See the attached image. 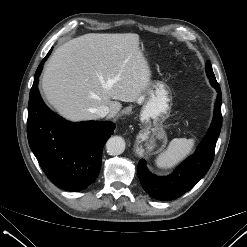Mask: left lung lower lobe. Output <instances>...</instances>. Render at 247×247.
<instances>
[{"label":"left lung lower lobe","mask_w":247,"mask_h":247,"mask_svg":"<svg viewBox=\"0 0 247 247\" xmlns=\"http://www.w3.org/2000/svg\"><path fill=\"white\" fill-rule=\"evenodd\" d=\"M217 90L214 117L204 140L197 147L195 153L179 165L172 174L158 177L146 167L143 159L138 164V176L144 190L158 200H173L190 190L209 170L215 153L216 142L220 133L221 89L218 83H211Z\"/></svg>","instance_id":"left-lung-lower-lobe-1"}]
</instances>
